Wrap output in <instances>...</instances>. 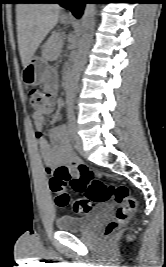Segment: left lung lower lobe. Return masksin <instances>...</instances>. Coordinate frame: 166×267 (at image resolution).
<instances>
[{
  "mask_svg": "<svg viewBox=\"0 0 166 267\" xmlns=\"http://www.w3.org/2000/svg\"><path fill=\"white\" fill-rule=\"evenodd\" d=\"M49 3H59L61 6L70 8L73 15L79 18L82 15L84 4L100 3V1L92 0V2H87V0H52Z\"/></svg>",
  "mask_w": 166,
  "mask_h": 267,
  "instance_id": "1",
  "label": "left lung lower lobe"
}]
</instances>
